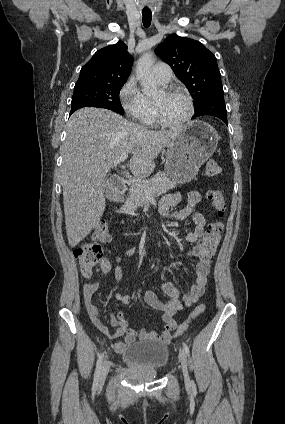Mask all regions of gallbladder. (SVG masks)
<instances>
[{"label": "gallbladder", "instance_id": "obj_1", "mask_svg": "<svg viewBox=\"0 0 285 424\" xmlns=\"http://www.w3.org/2000/svg\"><path fill=\"white\" fill-rule=\"evenodd\" d=\"M102 184H103L104 187H106L107 186V180L105 179Z\"/></svg>", "mask_w": 285, "mask_h": 424}]
</instances>
